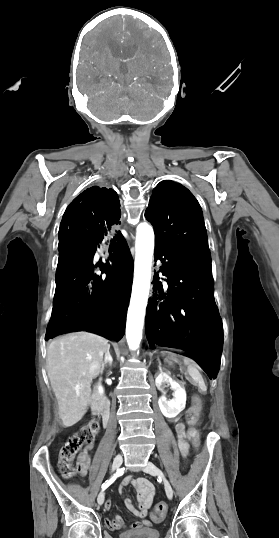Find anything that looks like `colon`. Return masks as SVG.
<instances>
[{"mask_svg":"<svg viewBox=\"0 0 279 538\" xmlns=\"http://www.w3.org/2000/svg\"><path fill=\"white\" fill-rule=\"evenodd\" d=\"M201 410V400L196 397L188 411L187 421L189 424L188 438L197 449L201 447V436L195 426L199 420ZM100 429L99 421L93 418L65 442L60 450V466L65 476L70 477L76 472L80 473L79 465L74 466L73 464L74 459L84 445L90 444L94 440ZM167 511V504L159 502L154 506L153 518L161 520L166 516Z\"/></svg>","mask_w":279,"mask_h":538,"instance_id":"colon-1","label":"colon"}]
</instances>
